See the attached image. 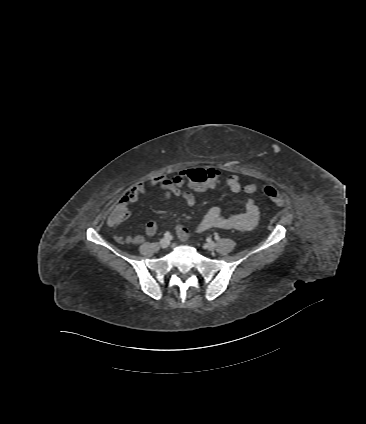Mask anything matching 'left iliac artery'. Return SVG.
I'll return each mask as SVG.
<instances>
[{"label":"left iliac artery","instance_id":"left-iliac-artery-1","mask_svg":"<svg viewBox=\"0 0 366 424\" xmlns=\"http://www.w3.org/2000/svg\"><path fill=\"white\" fill-rule=\"evenodd\" d=\"M220 237L218 235L215 236V240H219Z\"/></svg>","mask_w":366,"mask_h":424}]
</instances>
